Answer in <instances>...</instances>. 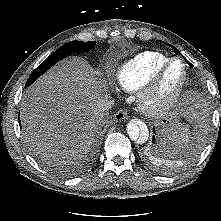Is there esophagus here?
<instances>
[{
  "mask_svg": "<svg viewBox=\"0 0 221 221\" xmlns=\"http://www.w3.org/2000/svg\"><path fill=\"white\" fill-rule=\"evenodd\" d=\"M128 118V113L126 110H119L116 112V114L114 115V119L116 122L122 121L124 119Z\"/></svg>",
  "mask_w": 221,
  "mask_h": 221,
  "instance_id": "34e87169",
  "label": "esophagus"
}]
</instances>
